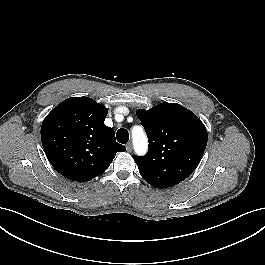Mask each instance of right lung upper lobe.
Segmentation results:
<instances>
[{"label":"right lung upper lobe","instance_id":"1","mask_svg":"<svg viewBox=\"0 0 265 265\" xmlns=\"http://www.w3.org/2000/svg\"><path fill=\"white\" fill-rule=\"evenodd\" d=\"M108 109L88 97H70L43 120L41 141L51 165L72 181L102 174L117 152L126 148L104 124Z\"/></svg>","mask_w":265,"mask_h":265}]
</instances>
